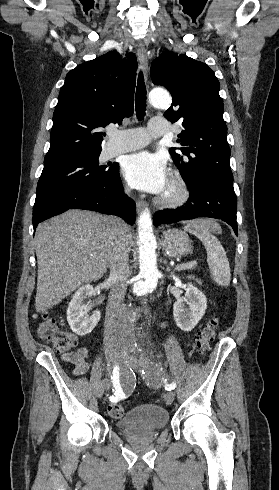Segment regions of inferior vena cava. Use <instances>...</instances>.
<instances>
[{
	"label": "inferior vena cava",
	"instance_id": "obj_1",
	"mask_svg": "<svg viewBox=\"0 0 279 490\" xmlns=\"http://www.w3.org/2000/svg\"><path fill=\"white\" fill-rule=\"evenodd\" d=\"M111 220L112 224H116L117 228H122L124 224L123 220H119V218H111ZM126 234L127 232L117 230L118 238L109 262L110 276L108 282L111 284V290L109 292L106 310V320H108L109 324H112L111 320L113 318H118L127 290V280L130 270L128 266L129 256L126 248Z\"/></svg>",
	"mask_w": 279,
	"mask_h": 490
}]
</instances>
